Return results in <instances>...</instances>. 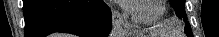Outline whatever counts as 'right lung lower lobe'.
I'll list each match as a JSON object with an SVG mask.
<instances>
[{
	"mask_svg": "<svg viewBox=\"0 0 219 37\" xmlns=\"http://www.w3.org/2000/svg\"><path fill=\"white\" fill-rule=\"evenodd\" d=\"M25 37L64 32L81 37H107L111 11L102 0H23Z\"/></svg>",
	"mask_w": 219,
	"mask_h": 37,
	"instance_id": "98d812e1",
	"label": "right lung lower lobe"
}]
</instances>
